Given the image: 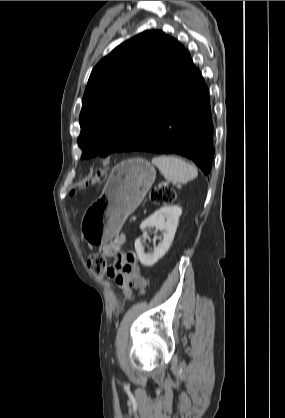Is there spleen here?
<instances>
[{
  "mask_svg": "<svg viewBox=\"0 0 285 418\" xmlns=\"http://www.w3.org/2000/svg\"><path fill=\"white\" fill-rule=\"evenodd\" d=\"M162 175L169 181L187 183L198 176L197 168L176 156H157L152 159Z\"/></svg>",
  "mask_w": 285,
  "mask_h": 418,
  "instance_id": "1",
  "label": "spleen"
}]
</instances>
